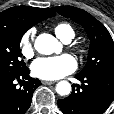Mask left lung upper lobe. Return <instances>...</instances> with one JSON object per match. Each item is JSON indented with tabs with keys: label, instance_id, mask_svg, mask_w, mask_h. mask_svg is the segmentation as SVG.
Listing matches in <instances>:
<instances>
[{
	"label": "left lung upper lobe",
	"instance_id": "5c2ea615",
	"mask_svg": "<svg viewBox=\"0 0 114 114\" xmlns=\"http://www.w3.org/2000/svg\"><path fill=\"white\" fill-rule=\"evenodd\" d=\"M53 9L82 25L90 39L88 61L79 74H114V43L105 26L79 8L60 6Z\"/></svg>",
	"mask_w": 114,
	"mask_h": 114
}]
</instances>
